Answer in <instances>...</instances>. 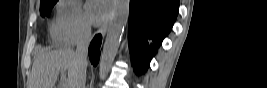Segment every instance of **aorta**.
I'll return each instance as SVG.
<instances>
[{
  "label": "aorta",
  "mask_w": 267,
  "mask_h": 88,
  "mask_svg": "<svg viewBox=\"0 0 267 88\" xmlns=\"http://www.w3.org/2000/svg\"><path fill=\"white\" fill-rule=\"evenodd\" d=\"M130 1L116 0L99 63V77L104 80L118 52L124 27L128 21Z\"/></svg>",
  "instance_id": "762f6f07"
}]
</instances>
